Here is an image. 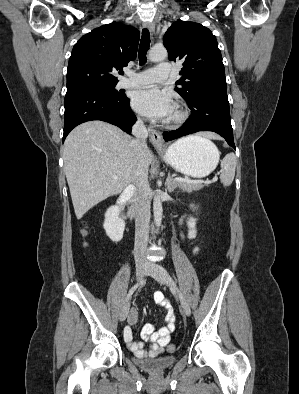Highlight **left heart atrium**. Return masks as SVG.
<instances>
[{
  "label": "left heart atrium",
  "mask_w": 299,
  "mask_h": 394,
  "mask_svg": "<svg viewBox=\"0 0 299 394\" xmlns=\"http://www.w3.org/2000/svg\"><path fill=\"white\" fill-rule=\"evenodd\" d=\"M132 106L138 113L152 119H167L175 109L170 94L158 87H150L136 92Z\"/></svg>",
  "instance_id": "1"
}]
</instances>
